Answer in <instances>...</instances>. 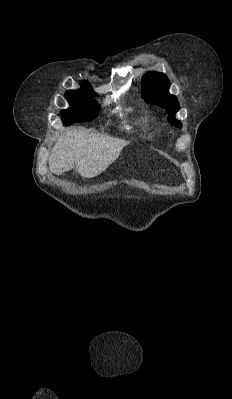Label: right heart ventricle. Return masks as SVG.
I'll use <instances>...</instances> for the list:
<instances>
[{
  "instance_id": "obj_1",
  "label": "right heart ventricle",
  "mask_w": 232,
  "mask_h": 399,
  "mask_svg": "<svg viewBox=\"0 0 232 399\" xmlns=\"http://www.w3.org/2000/svg\"><path fill=\"white\" fill-rule=\"evenodd\" d=\"M141 129L145 134L149 136H155L158 132L157 121L154 116L151 115L149 112L146 113L141 123Z\"/></svg>"
}]
</instances>
